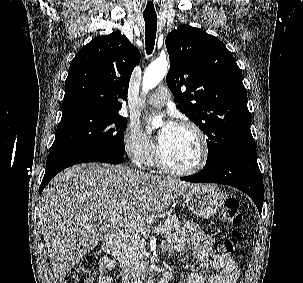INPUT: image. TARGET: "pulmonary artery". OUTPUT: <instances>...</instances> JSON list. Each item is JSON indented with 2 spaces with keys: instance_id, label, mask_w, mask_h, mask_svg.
<instances>
[{
  "instance_id": "obj_1",
  "label": "pulmonary artery",
  "mask_w": 303,
  "mask_h": 283,
  "mask_svg": "<svg viewBox=\"0 0 303 283\" xmlns=\"http://www.w3.org/2000/svg\"><path fill=\"white\" fill-rule=\"evenodd\" d=\"M171 97V93L168 87L161 86L150 96L148 102L152 106L161 107L163 106Z\"/></svg>"
}]
</instances>
